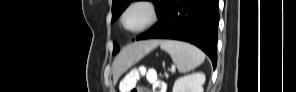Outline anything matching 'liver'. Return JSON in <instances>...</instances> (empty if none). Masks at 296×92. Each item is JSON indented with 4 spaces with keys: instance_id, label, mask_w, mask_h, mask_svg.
<instances>
[{
    "instance_id": "1",
    "label": "liver",
    "mask_w": 296,
    "mask_h": 92,
    "mask_svg": "<svg viewBox=\"0 0 296 92\" xmlns=\"http://www.w3.org/2000/svg\"><path fill=\"white\" fill-rule=\"evenodd\" d=\"M160 44L158 40L135 42L125 47L113 61V80L119 77L142 57L155 49Z\"/></svg>"
}]
</instances>
